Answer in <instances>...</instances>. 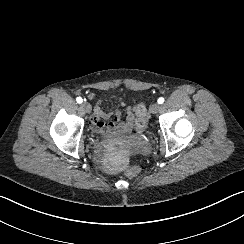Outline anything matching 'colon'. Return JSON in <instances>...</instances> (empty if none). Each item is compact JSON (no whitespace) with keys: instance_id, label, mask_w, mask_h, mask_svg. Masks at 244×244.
<instances>
[{"instance_id":"colon-1","label":"colon","mask_w":244,"mask_h":244,"mask_svg":"<svg viewBox=\"0 0 244 244\" xmlns=\"http://www.w3.org/2000/svg\"><path fill=\"white\" fill-rule=\"evenodd\" d=\"M134 111L137 115L136 128L142 130L148 118L146 108L142 103H138L134 106ZM126 175L129 178H137L140 175V170L137 167H129L126 170Z\"/></svg>"}]
</instances>
